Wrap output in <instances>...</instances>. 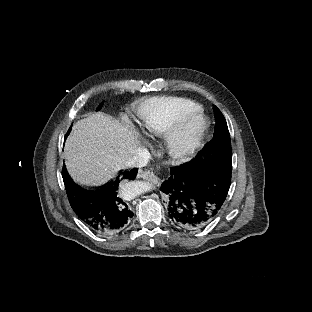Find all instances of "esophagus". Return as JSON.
Instances as JSON below:
<instances>
[{"label":"esophagus","mask_w":312,"mask_h":312,"mask_svg":"<svg viewBox=\"0 0 312 312\" xmlns=\"http://www.w3.org/2000/svg\"><path fill=\"white\" fill-rule=\"evenodd\" d=\"M137 178L144 179L153 184H158L160 181L156 174L150 170H139Z\"/></svg>","instance_id":"1"}]
</instances>
